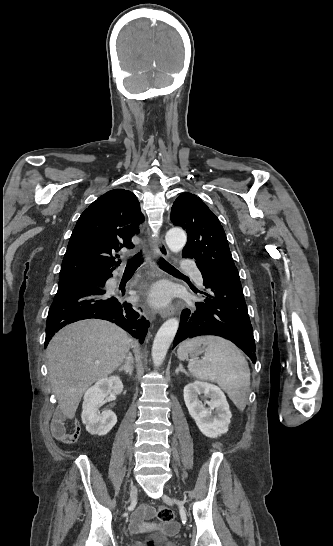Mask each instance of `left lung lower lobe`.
I'll use <instances>...</instances> for the list:
<instances>
[{"mask_svg": "<svg viewBox=\"0 0 333 546\" xmlns=\"http://www.w3.org/2000/svg\"><path fill=\"white\" fill-rule=\"evenodd\" d=\"M198 268L206 287V292L201 294L206 298L183 310L173 348L187 338L216 335L232 341L255 363L253 329L240 280L217 279Z\"/></svg>", "mask_w": 333, "mask_h": 546, "instance_id": "obj_1", "label": "left lung lower lobe"}]
</instances>
